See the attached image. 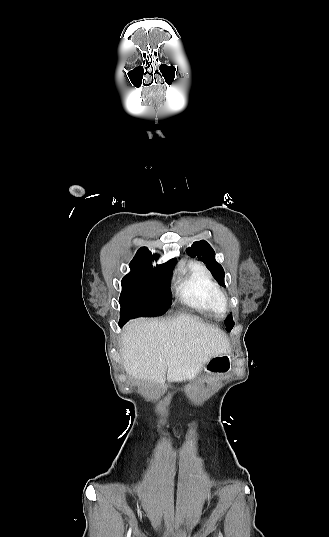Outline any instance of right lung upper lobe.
Wrapping results in <instances>:
<instances>
[{
    "label": "right lung upper lobe",
    "instance_id": "cb5924a9",
    "mask_svg": "<svg viewBox=\"0 0 329 537\" xmlns=\"http://www.w3.org/2000/svg\"><path fill=\"white\" fill-rule=\"evenodd\" d=\"M175 265V260H171L165 264L158 265L161 268L164 269H171ZM131 270L133 269H139L143 267L152 266V253L148 250L147 247L140 248L133 260L129 264Z\"/></svg>",
    "mask_w": 329,
    "mask_h": 537
}]
</instances>
